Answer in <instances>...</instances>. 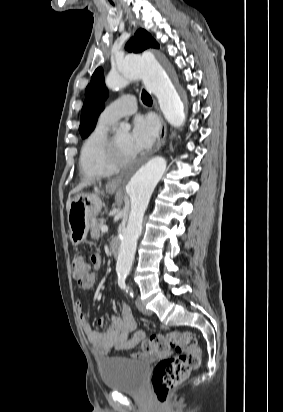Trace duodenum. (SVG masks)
<instances>
[{
    "label": "duodenum",
    "instance_id": "obj_1",
    "mask_svg": "<svg viewBox=\"0 0 283 412\" xmlns=\"http://www.w3.org/2000/svg\"><path fill=\"white\" fill-rule=\"evenodd\" d=\"M121 243L118 240H114L111 244V252L114 257H118L120 254Z\"/></svg>",
    "mask_w": 283,
    "mask_h": 412
}]
</instances>
